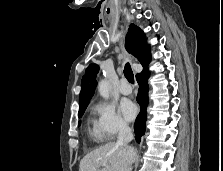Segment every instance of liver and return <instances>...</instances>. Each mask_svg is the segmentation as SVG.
I'll list each match as a JSON object with an SVG mask.
<instances>
[{
	"label": "liver",
	"mask_w": 223,
	"mask_h": 171,
	"mask_svg": "<svg viewBox=\"0 0 223 171\" xmlns=\"http://www.w3.org/2000/svg\"><path fill=\"white\" fill-rule=\"evenodd\" d=\"M135 157L134 148L109 142L84 156L79 171H126V167L133 163Z\"/></svg>",
	"instance_id": "liver-1"
}]
</instances>
